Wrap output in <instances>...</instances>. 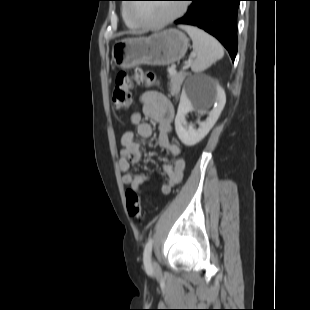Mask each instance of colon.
I'll return each mask as SVG.
<instances>
[{
	"label": "colon",
	"instance_id": "obj_1",
	"mask_svg": "<svg viewBox=\"0 0 310 310\" xmlns=\"http://www.w3.org/2000/svg\"><path fill=\"white\" fill-rule=\"evenodd\" d=\"M156 82L151 71L136 68L133 72L121 71L115 79L112 102L116 109L126 110L131 104V90L134 84L152 85ZM126 206L129 215L136 221H141L144 216L140 195L133 189L126 191Z\"/></svg>",
	"mask_w": 310,
	"mask_h": 310
}]
</instances>
